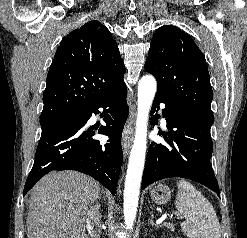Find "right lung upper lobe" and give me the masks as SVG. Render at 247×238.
Wrapping results in <instances>:
<instances>
[{
    "mask_svg": "<svg viewBox=\"0 0 247 238\" xmlns=\"http://www.w3.org/2000/svg\"><path fill=\"white\" fill-rule=\"evenodd\" d=\"M125 66L109 30L86 23L63 39L50 66L40 121L68 116L124 83Z\"/></svg>",
    "mask_w": 247,
    "mask_h": 238,
    "instance_id": "obj_1",
    "label": "right lung upper lobe"
}]
</instances>
